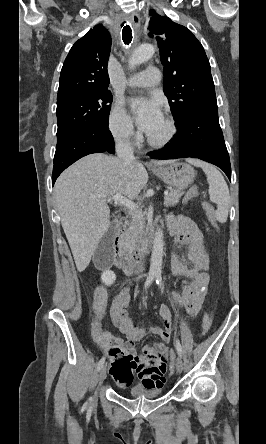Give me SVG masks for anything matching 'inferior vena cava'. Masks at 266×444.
Returning a JSON list of instances; mask_svg holds the SVG:
<instances>
[{
  "instance_id": "602c4592",
  "label": "inferior vena cava",
  "mask_w": 266,
  "mask_h": 444,
  "mask_svg": "<svg viewBox=\"0 0 266 444\" xmlns=\"http://www.w3.org/2000/svg\"><path fill=\"white\" fill-rule=\"evenodd\" d=\"M116 154L124 161L134 160L133 148L128 140L118 139L116 143Z\"/></svg>"
}]
</instances>
